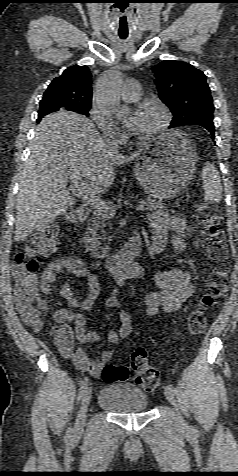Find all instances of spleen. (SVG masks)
<instances>
[{"label": "spleen", "mask_w": 238, "mask_h": 476, "mask_svg": "<svg viewBox=\"0 0 238 476\" xmlns=\"http://www.w3.org/2000/svg\"><path fill=\"white\" fill-rule=\"evenodd\" d=\"M201 177L205 199L209 203L219 204L222 199V185L215 166L207 162L202 169Z\"/></svg>", "instance_id": "3e777b00"}]
</instances>
